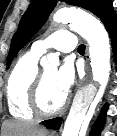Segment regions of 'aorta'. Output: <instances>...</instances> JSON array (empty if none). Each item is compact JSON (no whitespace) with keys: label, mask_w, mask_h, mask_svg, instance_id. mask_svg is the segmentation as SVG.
Masks as SVG:
<instances>
[{"label":"aorta","mask_w":117,"mask_h":136,"mask_svg":"<svg viewBox=\"0 0 117 136\" xmlns=\"http://www.w3.org/2000/svg\"><path fill=\"white\" fill-rule=\"evenodd\" d=\"M53 19L58 23H70L71 27L86 39L93 80L100 85L97 92L93 86L82 88L73 100L62 136H79L81 125L88 118L89 109L100 101L107 86L111 70L109 36L98 19L77 9H59ZM42 64L45 67H57L59 57L51 53L47 59L42 60Z\"/></svg>","instance_id":"1"}]
</instances>
